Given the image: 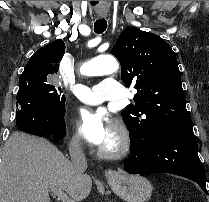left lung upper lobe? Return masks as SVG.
I'll list each match as a JSON object with an SVG mask.
<instances>
[{"label":"left lung upper lobe","instance_id":"obj_1","mask_svg":"<svg viewBox=\"0 0 209 202\" xmlns=\"http://www.w3.org/2000/svg\"><path fill=\"white\" fill-rule=\"evenodd\" d=\"M111 53L121 64L123 83L137 89L135 104L122 112L130 141L152 143L173 131L192 127L177 58L163 39L127 27Z\"/></svg>","mask_w":209,"mask_h":202}]
</instances>
